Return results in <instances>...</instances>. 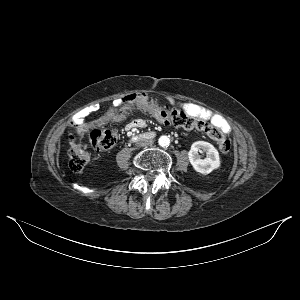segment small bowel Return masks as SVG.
I'll list each match as a JSON object with an SVG mask.
<instances>
[{
	"instance_id": "obj_1",
	"label": "small bowel",
	"mask_w": 300,
	"mask_h": 300,
	"mask_svg": "<svg viewBox=\"0 0 300 300\" xmlns=\"http://www.w3.org/2000/svg\"><path fill=\"white\" fill-rule=\"evenodd\" d=\"M181 108H183L187 113L191 115H201L203 117H206L211 121V123L218 126L224 133H229L231 128L230 125L227 123V121L221 117L220 115L213 113L212 111L205 109L198 104L191 103V102H184L178 104ZM91 112V108L83 109L81 110L76 117L74 118V122L77 124H82L85 119L88 117V115ZM103 122V119L100 118L94 122H92V125H99ZM129 128H144L146 127V122L143 119L137 118L132 120L128 124Z\"/></svg>"
}]
</instances>
